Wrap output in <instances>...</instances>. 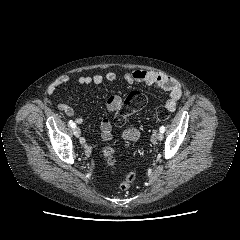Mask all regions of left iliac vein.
<instances>
[{"mask_svg": "<svg viewBox=\"0 0 240 240\" xmlns=\"http://www.w3.org/2000/svg\"><path fill=\"white\" fill-rule=\"evenodd\" d=\"M156 139L161 141L163 139V134L161 132H158L156 135Z\"/></svg>", "mask_w": 240, "mask_h": 240, "instance_id": "1", "label": "left iliac vein"}]
</instances>
